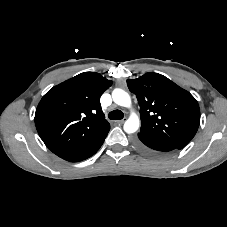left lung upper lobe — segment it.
Segmentation results:
<instances>
[{
  "instance_id": "left-lung-upper-lobe-1",
  "label": "left lung upper lobe",
  "mask_w": 227,
  "mask_h": 227,
  "mask_svg": "<svg viewBox=\"0 0 227 227\" xmlns=\"http://www.w3.org/2000/svg\"><path fill=\"white\" fill-rule=\"evenodd\" d=\"M127 85L140 105L139 136L177 149L192 140L200 124V109L188 91L158 73L128 79Z\"/></svg>"
}]
</instances>
